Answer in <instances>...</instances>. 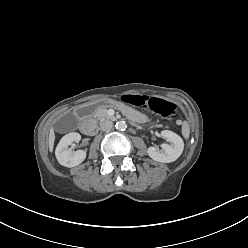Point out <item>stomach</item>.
I'll list each match as a JSON object with an SVG mask.
<instances>
[{"mask_svg": "<svg viewBox=\"0 0 248 248\" xmlns=\"http://www.w3.org/2000/svg\"><path fill=\"white\" fill-rule=\"evenodd\" d=\"M85 114H93L98 110H115L118 114L124 117H128L132 122L135 123H146L147 115L141 112H137L133 107L125 106L122 101H114V100H101V101H92L89 102L88 105L84 106Z\"/></svg>", "mask_w": 248, "mask_h": 248, "instance_id": "0dacf381", "label": "stomach"}]
</instances>
